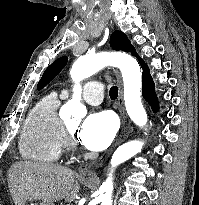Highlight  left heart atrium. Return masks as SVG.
<instances>
[{
	"instance_id": "left-heart-atrium-1",
	"label": "left heart atrium",
	"mask_w": 199,
	"mask_h": 205,
	"mask_svg": "<svg viewBox=\"0 0 199 205\" xmlns=\"http://www.w3.org/2000/svg\"><path fill=\"white\" fill-rule=\"evenodd\" d=\"M117 132V121L108 111L90 114L81 124L77 138L92 151H101L113 141Z\"/></svg>"
}]
</instances>
